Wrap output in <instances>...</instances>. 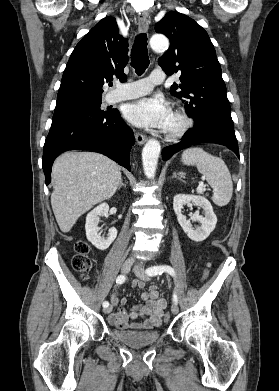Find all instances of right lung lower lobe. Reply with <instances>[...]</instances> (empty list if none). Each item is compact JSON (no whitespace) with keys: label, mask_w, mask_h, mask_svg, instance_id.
I'll list each match as a JSON object with an SVG mask.
<instances>
[{"label":"right lung lower lobe","mask_w":279,"mask_h":391,"mask_svg":"<svg viewBox=\"0 0 279 391\" xmlns=\"http://www.w3.org/2000/svg\"><path fill=\"white\" fill-rule=\"evenodd\" d=\"M133 144V131L121 119L118 110H111L98 118L78 116L53 119L42 159L46 185L51 182V167L55 158L68 150L102 153L130 171L129 152Z\"/></svg>","instance_id":"right-lung-lower-lobe-1"}]
</instances>
